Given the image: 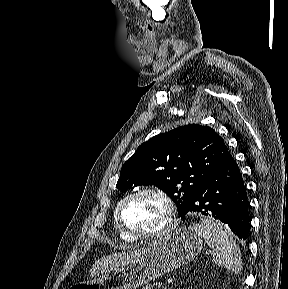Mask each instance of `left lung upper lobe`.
<instances>
[{"instance_id": "1", "label": "left lung upper lobe", "mask_w": 288, "mask_h": 289, "mask_svg": "<svg viewBox=\"0 0 288 289\" xmlns=\"http://www.w3.org/2000/svg\"><path fill=\"white\" fill-rule=\"evenodd\" d=\"M228 154L214 129L182 126L141 144L123 164L117 187L155 185L175 202L180 216Z\"/></svg>"}]
</instances>
